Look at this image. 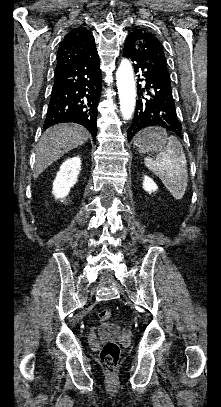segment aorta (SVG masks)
Listing matches in <instances>:
<instances>
[{
  "label": "aorta",
  "mask_w": 221,
  "mask_h": 407,
  "mask_svg": "<svg viewBox=\"0 0 221 407\" xmlns=\"http://www.w3.org/2000/svg\"><path fill=\"white\" fill-rule=\"evenodd\" d=\"M120 110L125 120L131 118L136 101V88L130 62L123 59L116 72Z\"/></svg>",
  "instance_id": "1"
}]
</instances>
